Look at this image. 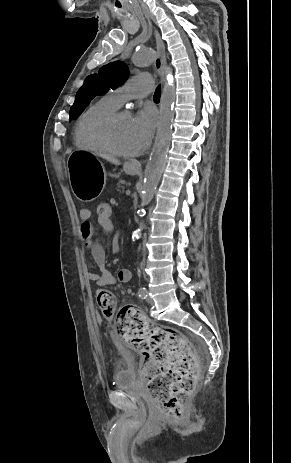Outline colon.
Returning <instances> with one entry per match:
<instances>
[{"mask_svg":"<svg viewBox=\"0 0 291 463\" xmlns=\"http://www.w3.org/2000/svg\"><path fill=\"white\" fill-rule=\"evenodd\" d=\"M112 203L93 205V219L99 226H111ZM98 308L106 316L116 311L115 295L106 289L96 294ZM117 333L143 357L141 374L149 393L170 417L179 419L182 408L195 390L198 365L193 348L178 330L158 326L129 307L117 313Z\"/></svg>","mask_w":291,"mask_h":463,"instance_id":"1","label":"colon"}]
</instances>
